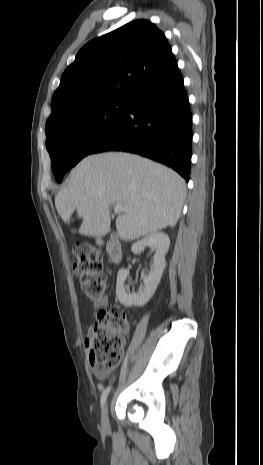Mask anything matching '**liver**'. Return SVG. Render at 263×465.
Listing matches in <instances>:
<instances>
[{
	"instance_id": "6515ba94",
	"label": "liver",
	"mask_w": 263,
	"mask_h": 465,
	"mask_svg": "<svg viewBox=\"0 0 263 465\" xmlns=\"http://www.w3.org/2000/svg\"><path fill=\"white\" fill-rule=\"evenodd\" d=\"M185 196V182L173 170L138 155L107 152L89 155L72 169L55 206L65 223L77 211L80 234L102 237L110 229V206L121 204L118 236L132 241L174 227Z\"/></svg>"
}]
</instances>
